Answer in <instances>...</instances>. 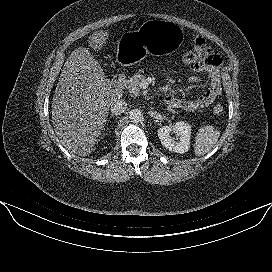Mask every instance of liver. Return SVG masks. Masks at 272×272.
I'll return each instance as SVG.
<instances>
[{
  "label": "liver",
  "mask_w": 272,
  "mask_h": 272,
  "mask_svg": "<svg viewBox=\"0 0 272 272\" xmlns=\"http://www.w3.org/2000/svg\"><path fill=\"white\" fill-rule=\"evenodd\" d=\"M107 38L106 31L94 32L89 46L100 50ZM122 95L88 48L75 49L63 66L52 101V122L61 144L79 156L91 154L111 104Z\"/></svg>",
  "instance_id": "obj_1"
}]
</instances>
